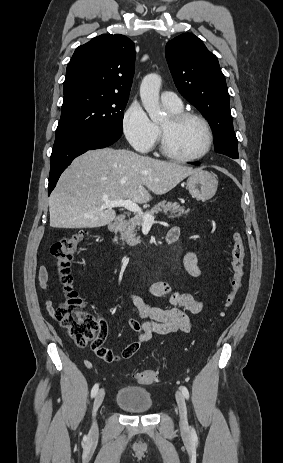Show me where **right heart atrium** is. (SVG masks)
<instances>
[{"label": "right heart atrium", "instance_id": "1", "mask_svg": "<svg viewBox=\"0 0 283 463\" xmlns=\"http://www.w3.org/2000/svg\"><path fill=\"white\" fill-rule=\"evenodd\" d=\"M122 127L127 141L139 152L150 151L157 142L158 127L139 102L135 101L127 108Z\"/></svg>", "mask_w": 283, "mask_h": 463}]
</instances>
